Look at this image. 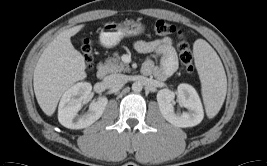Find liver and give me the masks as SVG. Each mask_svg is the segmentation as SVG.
<instances>
[{"label": "liver", "instance_id": "1", "mask_svg": "<svg viewBox=\"0 0 267 166\" xmlns=\"http://www.w3.org/2000/svg\"><path fill=\"white\" fill-rule=\"evenodd\" d=\"M84 25L64 30L44 49L33 76L37 102L42 111L51 116L62 94L77 81L86 78L85 59L72 43L71 36Z\"/></svg>", "mask_w": 267, "mask_h": 166}]
</instances>
